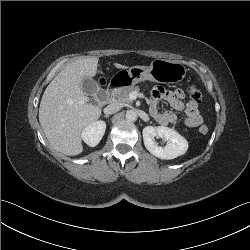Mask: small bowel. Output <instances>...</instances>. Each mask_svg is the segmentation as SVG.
Listing matches in <instances>:
<instances>
[{
	"label": "small bowel",
	"mask_w": 250,
	"mask_h": 250,
	"mask_svg": "<svg viewBox=\"0 0 250 250\" xmlns=\"http://www.w3.org/2000/svg\"><path fill=\"white\" fill-rule=\"evenodd\" d=\"M185 98L186 93L181 87H176L174 91L166 90L163 87H155L151 92V100L149 103L151 115L162 125L176 123L177 116L174 111H159L158 104L161 100H164L169 103L174 110L184 112L185 126L189 128L197 127L202 123V117L198 106L193 101L185 103L183 101Z\"/></svg>",
	"instance_id": "small-bowel-1"
}]
</instances>
